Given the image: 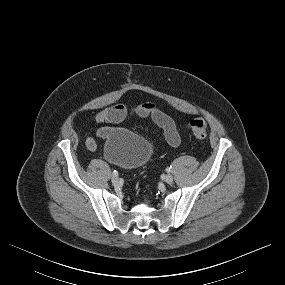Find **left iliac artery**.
<instances>
[{
	"label": "left iliac artery",
	"mask_w": 285,
	"mask_h": 285,
	"mask_svg": "<svg viewBox=\"0 0 285 285\" xmlns=\"http://www.w3.org/2000/svg\"><path fill=\"white\" fill-rule=\"evenodd\" d=\"M166 171H167V172H171V171H172V166L167 167V168H166Z\"/></svg>",
	"instance_id": "1"
}]
</instances>
